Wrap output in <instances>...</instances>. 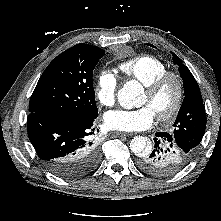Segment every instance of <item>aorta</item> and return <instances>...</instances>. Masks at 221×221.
<instances>
[{
    "instance_id": "obj_1",
    "label": "aorta",
    "mask_w": 221,
    "mask_h": 221,
    "mask_svg": "<svg viewBox=\"0 0 221 221\" xmlns=\"http://www.w3.org/2000/svg\"><path fill=\"white\" fill-rule=\"evenodd\" d=\"M142 85L135 81H128L123 88L118 91V101L126 109H131L138 105L137 99L142 94ZM130 149L137 156H143L152 150V143L143 136H136L130 141Z\"/></svg>"
}]
</instances>
